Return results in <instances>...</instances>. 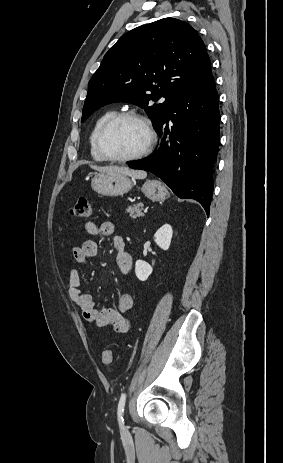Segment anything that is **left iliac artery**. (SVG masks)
I'll list each match as a JSON object with an SVG mask.
<instances>
[{"label":"left iliac artery","instance_id":"obj_1","mask_svg":"<svg viewBox=\"0 0 283 463\" xmlns=\"http://www.w3.org/2000/svg\"><path fill=\"white\" fill-rule=\"evenodd\" d=\"M126 401V394H122L118 403V420L121 425H123V413H124V406Z\"/></svg>","mask_w":283,"mask_h":463}]
</instances>
